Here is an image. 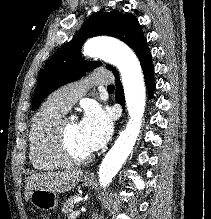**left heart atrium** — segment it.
Masks as SVG:
<instances>
[{
    "label": "left heart atrium",
    "instance_id": "left-heart-atrium-1",
    "mask_svg": "<svg viewBox=\"0 0 211 219\" xmlns=\"http://www.w3.org/2000/svg\"><path fill=\"white\" fill-rule=\"evenodd\" d=\"M112 120L101 107H87L79 123L80 135L86 148L92 152L104 146L112 134Z\"/></svg>",
    "mask_w": 211,
    "mask_h": 219
}]
</instances>
